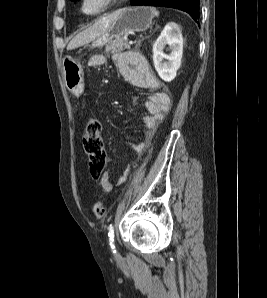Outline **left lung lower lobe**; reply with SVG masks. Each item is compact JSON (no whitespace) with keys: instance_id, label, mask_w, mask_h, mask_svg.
Listing matches in <instances>:
<instances>
[{"instance_id":"1","label":"left lung lower lobe","mask_w":267,"mask_h":298,"mask_svg":"<svg viewBox=\"0 0 267 298\" xmlns=\"http://www.w3.org/2000/svg\"><path fill=\"white\" fill-rule=\"evenodd\" d=\"M133 6H161L187 12L197 22L199 19V0H131Z\"/></svg>"}]
</instances>
